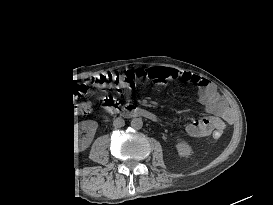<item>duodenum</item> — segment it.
I'll use <instances>...</instances> for the list:
<instances>
[{
	"label": "duodenum",
	"mask_w": 273,
	"mask_h": 205,
	"mask_svg": "<svg viewBox=\"0 0 273 205\" xmlns=\"http://www.w3.org/2000/svg\"><path fill=\"white\" fill-rule=\"evenodd\" d=\"M106 108L111 112L119 113L125 117L140 116L148 119H156V116L146 109L132 105H121L112 100H107Z\"/></svg>",
	"instance_id": "1"
}]
</instances>
